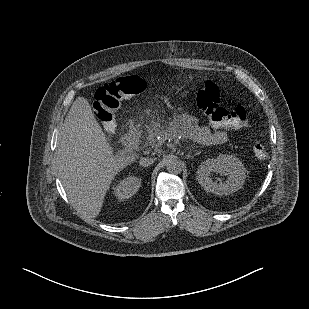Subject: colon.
I'll list each match as a JSON object with an SVG mask.
<instances>
[{
  "mask_svg": "<svg viewBox=\"0 0 309 309\" xmlns=\"http://www.w3.org/2000/svg\"><path fill=\"white\" fill-rule=\"evenodd\" d=\"M146 81L139 76L120 77L100 87L95 94L99 118L106 131L112 132L117 127L116 112L123 100L144 92ZM197 105L214 127H240L247 122V111L242 105L227 109L221 105L218 86L207 80L197 93ZM254 154L259 159L267 157L264 144L256 143Z\"/></svg>",
  "mask_w": 309,
  "mask_h": 309,
  "instance_id": "obj_1",
  "label": "colon"
}]
</instances>
